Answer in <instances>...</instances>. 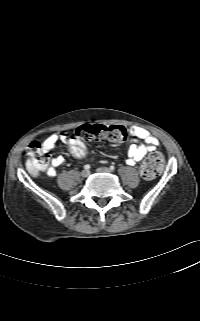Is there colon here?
Returning <instances> with one entry per match:
<instances>
[{"instance_id": "obj_1", "label": "colon", "mask_w": 200, "mask_h": 321, "mask_svg": "<svg viewBox=\"0 0 200 321\" xmlns=\"http://www.w3.org/2000/svg\"><path fill=\"white\" fill-rule=\"evenodd\" d=\"M128 139V131L123 126L114 125H82L75 131V135L67 137L64 146L72 157L81 160L86 155L84 141L105 140L121 143ZM27 168L32 174L41 172L49 162V154L44 150L42 143L33 141L27 148ZM164 159L159 152L150 153L143 161L140 173L144 179L151 180L163 170Z\"/></svg>"}]
</instances>
